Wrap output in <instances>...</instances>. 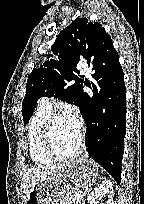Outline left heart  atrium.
Returning <instances> with one entry per match:
<instances>
[{
  "label": "left heart atrium",
  "instance_id": "left-heart-atrium-1",
  "mask_svg": "<svg viewBox=\"0 0 144 204\" xmlns=\"http://www.w3.org/2000/svg\"><path fill=\"white\" fill-rule=\"evenodd\" d=\"M67 117H69L77 125V127L80 128V119H79V117H78L76 112L70 111L67 114Z\"/></svg>",
  "mask_w": 144,
  "mask_h": 204
}]
</instances>
